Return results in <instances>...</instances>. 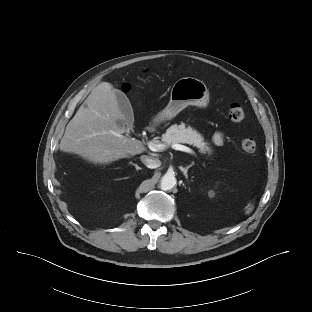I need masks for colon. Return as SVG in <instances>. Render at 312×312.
<instances>
[{
	"label": "colon",
	"mask_w": 312,
	"mask_h": 312,
	"mask_svg": "<svg viewBox=\"0 0 312 312\" xmlns=\"http://www.w3.org/2000/svg\"><path fill=\"white\" fill-rule=\"evenodd\" d=\"M125 90L129 89L128 85L124 86ZM246 113L243 106L239 103H232L228 108V118L234 123L242 122L245 119ZM241 149L248 154L256 151L257 144L251 137H244L240 142Z\"/></svg>",
	"instance_id": "1"
}]
</instances>
